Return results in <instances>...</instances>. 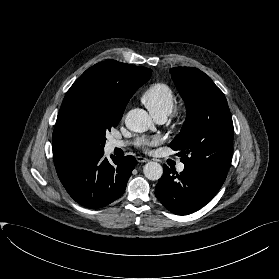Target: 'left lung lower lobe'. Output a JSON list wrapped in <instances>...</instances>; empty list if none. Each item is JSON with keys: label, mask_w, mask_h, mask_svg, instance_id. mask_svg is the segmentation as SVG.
<instances>
[{"label": "left lung lower lobe", "mask_w": 279, "mask_h": 279, "mask_svg": "<svg viewBox=\"0 0 279 279\" xmlns=\"http://www.w3.org/2000/svg\"><path fill=\"white\" fill-rule=\"evenodd\" d=\"M222 185V182L205 172L184 168L177 174L163 165V175L158 180L155 194L167 210L185 215L206 205Z\"/></svg>", "instance_id": "0a47b994"}]
</instances>
